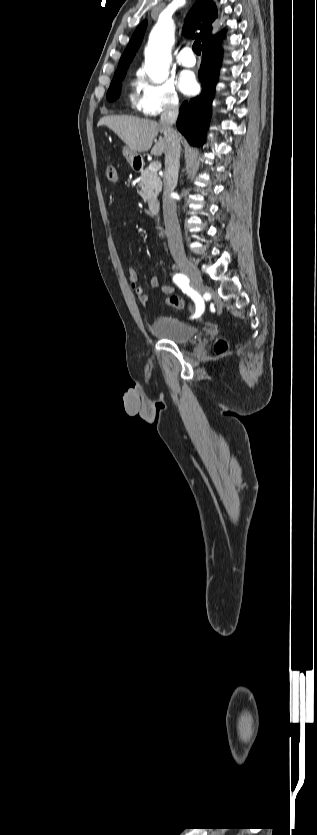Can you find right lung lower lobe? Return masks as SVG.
<instances>
[{
	"label": "right lung lower lobe",
	"mask_w": 317,
	"mask_h": 835,
	"mask_svg": "<svg viewBox=\"0 0 317 835\" xmlns=\"http://www.w3.org/2000/svg\"><path fill=\"white\" fill-rule=\"evenodd\" d=\"M202 51V63L199 70L202 92L199 96L182 104L177 120L178 130L192 145H199L203 142L202 135L208 127L211 115V104L221 66L222 49L219 37L204 43Z\"/></svg>",
	"instance_id": "right-lung-lower-lobe-1"
}]
</instances>
